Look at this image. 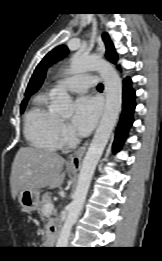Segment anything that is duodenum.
<instances>
[{
	"label": "duodenum",
	"instance_id": "obj_1",
	"mask_svg": "<svg viewBox=\"0 0 162 261\" xmlns=\"http://www.w3.org/2000/svg\"><path fill=\"white\" fill-rule=\"evenodd\" d=\"M57 238H58L57 232H51L48 236V243L50 245H55L57 243Z\"/></svg>",
	"mask_w": 162,
	"mask_h": 261
}]
</instances>
